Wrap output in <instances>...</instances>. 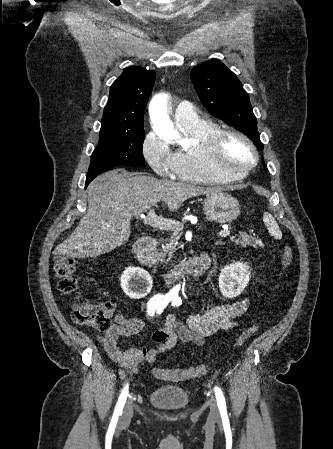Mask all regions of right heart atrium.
<instances>
[{
  "instance_id": "1",
  "label": "right heart atrium",
  "mask_w": 333,
  "mask_h": 449,
  "mask_svg": "<svg viewBox=\"0 0 333 449\" xmlns=\"http://www.w3.org/2000/svg\"><path fill=\"white\" fill-rule=\"evenodd\" d=\"M141 150L145 160L157 175L174 176L176 157L166 140L150 131L142 142Z\"/></svg>"
}]
</instances>
